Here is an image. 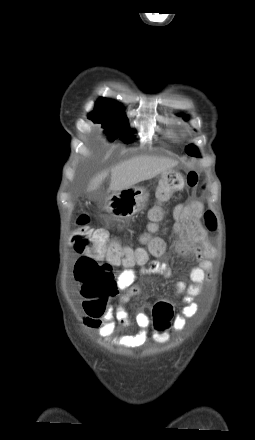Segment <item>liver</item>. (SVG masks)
Here are the masks:
<instances>
[{"label":"liver","mask_w":255,"mask_h":440,"mask_svg":"<svg viewBox=\"0 0 255 440\" xmlns=\"http://www.w3.org/2000/svg\"><path fill=\"white\" fill-rule=\"evenodd\" d=\"M177 165L174 161L165 157L139 156L124 161L111 169V181L109 190L118 192L133 185L154 178L161 172ZM108 171H102L89 183L88 191L99 188L107 177Z\"/></svg>","instance_id":"6515ba94"}]
</instances>
